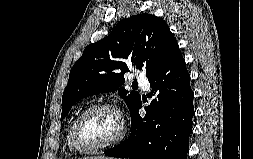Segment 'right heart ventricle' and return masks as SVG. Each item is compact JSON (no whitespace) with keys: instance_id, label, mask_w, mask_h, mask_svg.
I'll list each match as a JSON object with an SVG mask.
<instances>
[{"instance_id":"obj_1","label":"right heart ventricle","mask_w":253,"mask_h":159,"mask_svg":"<svg viewBox=\"0 0 253 159\" xmlns=\"http://www.w3.org/2000/svg\"><path fill=\"white\" fill-rule=\"evenodd\" d=\"M77 114H76V116H74L73 118H72V120H71V122H70V124H69V126H68V128H67V132H66V143H67V146H68V148L70 149V150H74V148L72 147V145H71V130H72V126H73V124H74V121H75V119L77 118Z\"/></svg>"}]
</instances>
